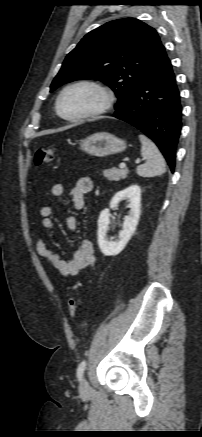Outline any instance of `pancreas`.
Masks as SVG:
<instances>
[{
	"instance_id": "cf45deb5",
	"label": "pancreas",
	"mask_w": 202,
	"mask_h": 437,
	"mask_svg": "<svg viewBox=\"0 0 202 437\" xmlns=\"http://www.w3.org/2000/svg\"><path fill=\"white\" fill-rule=\"evenodd\" d=\"M128 173V169L112 168L104 170L103 175L107 180L119 181L120 179H125Z\"/></svg>"
}]
</instances>
